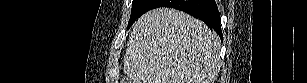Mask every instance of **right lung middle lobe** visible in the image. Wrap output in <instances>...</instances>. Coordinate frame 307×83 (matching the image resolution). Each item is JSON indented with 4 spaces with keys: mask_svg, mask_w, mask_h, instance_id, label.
<instances>
[{
    "mask_svg": "<svg viewBox=\"0 0 307 83\" xmlns=\"http://www.w3.org/2000/svg\"><path fill=\"white\" fill-rule=\"evenodd\" d=\"M152 3L153 0H133L128 28L134 23V21L138 17L150 10Z\"/></svg>",
    "mask_w": 307,
    "mask_h": 83,
    "instance_id": "obj_1",
    "label": "right lung middle lobe"
}]
</instances>
